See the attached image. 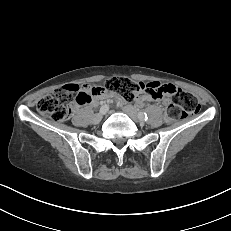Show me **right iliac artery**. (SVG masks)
<instances>
[{
  "instance_id": "right-iliac-artery-1",
  "label": "right iliac artery",
  "mask_w": 231,
  "mask_h": 231,
  "mask_svg": "<svg viewBox=\"0 0 231 231\" xmlns=\"http://www.w3.org/2000/svg\"><path fill=\"white\" fill-rule=\"evenodd\" d=\"M108 110H109V107L106 104L100 108V112H107Z\"/></svg>"
}]
</instances>
